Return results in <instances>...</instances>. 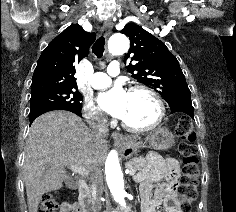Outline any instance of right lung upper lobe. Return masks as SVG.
<instances>
[{"mask_svg": "<svg viewBox=\"0 0 236 212\" xmlns=\"http://www.w3.org/2000/svg\"><path fill=\"white\" fill-rule=\"evenodd\" d=\"M95 33L72 24L42 52L35 68L31 93L54 88H77L75 64L89 53Z\"/></svg>", "mask_w": 236, "mask_h": 212, "instance_id": "cb5924a9", "label": "right lung upper lobe"}]
</instances>
